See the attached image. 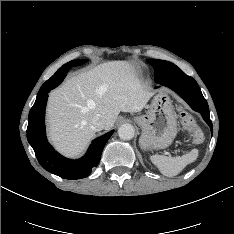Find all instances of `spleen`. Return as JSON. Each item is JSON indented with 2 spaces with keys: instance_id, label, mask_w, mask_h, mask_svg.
Here are the masks:
<instances>
[{
  "instance_id": "spleen-1",
  "label": "spleen",
  "mask_w": 234,
  "mask_h": 234,
  "mask_svg": "<svg viewBox=\"0 0 234 234\" xmlns=\"http://www.w3.org/2000/svg\"><path fill=\"white\" fill-rule=\"evenodd\" d=\"M197 157L198 150L193 149L183 156L167 157L164 155H152L150 159L163 175L173 177L179 174L186 165L194 162Z\"/></svg>"
}]
</instances>
